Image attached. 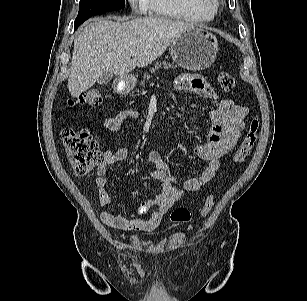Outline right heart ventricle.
Here are the masks:
<instances>
[{"mask_svg": "<svg viewBox=\"0 0 307 301\" xmlns=\"http://www.w3.org/2000/svg\"><path fill=\"white\" fill-rule=\"evenodd\" d=\"M145 8L153 15L191 23L210 21L217 13L214 0H145Z\"/></svg>", "mask_w": 307, "mask_h": 301, "instance_id": "right-heart-ventricle-1", "label": "right heart ventricle"}]
</instances>
